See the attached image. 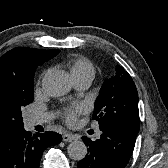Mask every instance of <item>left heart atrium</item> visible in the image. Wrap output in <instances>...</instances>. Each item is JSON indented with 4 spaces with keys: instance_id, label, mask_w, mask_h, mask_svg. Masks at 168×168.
Wrapping results in <instances>:
<instances>
[{
    "instance_id": "39dd6f15",
    "label": "left heart atrium",
    "mask_w": 168,
    "mask_h": 168,
    "mask_svg": "<svg viewBox=\"0 0 168 168\" xmlns=\"http://www.w3.org/2000/svg\"><path fill=\"white\" fill-rule=\"evenodd\" d=\"M82 106L77 105L71 109H68L64 114L65 121L73 125L76 122L77 115L82 112Z\"/></svg>"
}]
</instances>
